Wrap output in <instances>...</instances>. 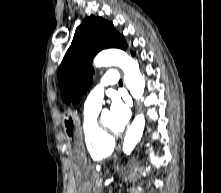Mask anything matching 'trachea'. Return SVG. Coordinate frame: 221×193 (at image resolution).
<instances>
[{
  "instance_id": "3493384b",
  "label": "trachea",
  "mask_w": 221,
  "mask_h": 193,
  "mask_svg": "<svg viewBox=\"0 0 221 193\" xmlns=\"http://www.w3.org/2000/svg\"><path fill=\"white\" fill-rule=\"evenodd\" d=\"M119 84H122V80L119 81Z\"/></svg>"
}]
</instances>
